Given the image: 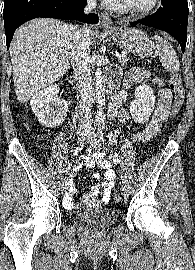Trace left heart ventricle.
<instances>
[{"label":"left heart ventricle","instance_id":"1","mask_svg":"<svg viewBox=\"0 0 195 270\" xmlns=\"http://www.w3.org/2000/svg\"><path fill=\"white\" fill-rule=\"evenodd\" d=\"M125 1L134 8H145L148 7L153 0H125Z\"/></svg>","mask_w":195,"mask_h":270}]
</instances>
